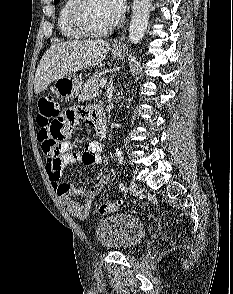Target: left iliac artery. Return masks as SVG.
Returning a JSON list of instances; mask_svg holds the SVG:
<instances>
[{
	"label": "left iliac artery",
	"mask_w": 233,
	"mask_h": 294,
	"mask_svg": "<svg viewBox=\"0 0 233 294\" xmlns=\"http://www.w3.org/2000/svg\"><path fill=\"white\" fill-rule=\"evenodd\" d=\"M119 186L122 191H125V192L128 191V188L123 183L120 182Z\"/></svg>",
	"instance_id": "1"
}]
</instances>
